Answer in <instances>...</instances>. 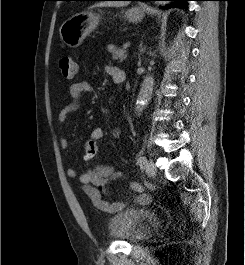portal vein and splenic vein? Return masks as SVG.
I'll use <instances>...</instances> for the list:
<instances>
[{
	"label": "portal vein and splenic vein",
	"mask_w": 245,
	"mask_h": 265,
	"mask_svg": "<svg viewBox=\"0 0 245 265\" xmlns=\"http://www.w3.org/2000/svg\"><path fill=\"white\" fill-rule=\"evenodd\" d=\"M129 47H130V43H126V44L123 45V49H127Z\"/></svg>",
	"instance_id": "portal-vein-and-splenic-vein-1"
}]
</instances>
